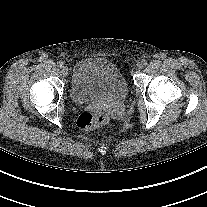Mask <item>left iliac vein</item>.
Returning a JSON list of instances; mask_svg holds the SVG:
<instances>
[{
  "mask_svg": "<svg viewBox=\"0 0 207 207\" xmlns=\"http://www.w3.org/2000/svg\"><path fill=\"white\" fill-rule=\"evenodd\" d=\"M136 66L138 70H141L144 67L142 62H138Z\"/></svg>",
  "mask_w": 207,
  "mask_h": 207,
  "instance_id": "left-iliac-vein-1",
  "label": "left iliac vein"
}]
</instances>
